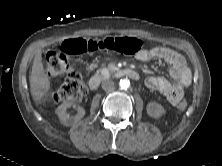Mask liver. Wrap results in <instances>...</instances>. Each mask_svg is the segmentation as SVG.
I'll return each instance as SVG.
<instances>
[{
	"instance_id": "liver-1",
	"label": "liver",
	"mask_w": 222,
	"mask_h": 166,
	"mask_svg": "<svg viewBox=\"0 0 222 166\" xmlns=\"http://www.w3.org/2000/svg\"><path fill=\"white\" fill-rule=\"evenodd\" d=\"M29 81L32 98L36 103H38L50 89V80L48 75L45 73L41 49H39L35 54Z\"/></svg>"
}]
</instances>
